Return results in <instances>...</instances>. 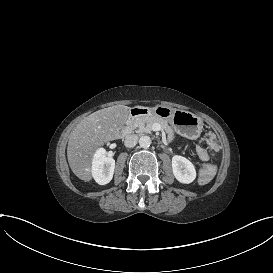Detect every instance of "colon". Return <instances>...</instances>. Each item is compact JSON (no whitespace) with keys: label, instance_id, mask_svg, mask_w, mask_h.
Listing matches in <instances>:
<instances>
[{"label":"colon","instance_id":"1","mask_svg":"<svg viewBox=\"0 0 273 273\" xmlns=\"http://www.w3.org/2000/svg\"><path fill=\"white\" fill-rule=\"evenodd\" d=\"M216 172V165L215 164H207L201 170V179L203 182L210 181Z\"/></svg>","mask_w":273,"mask_h":273}]
</instances>
